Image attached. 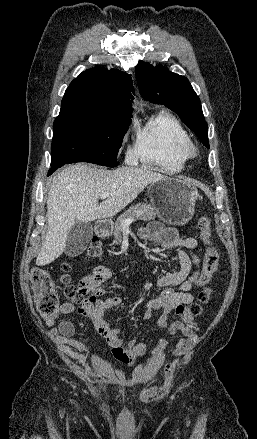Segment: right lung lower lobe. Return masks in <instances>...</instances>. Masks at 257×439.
<instances>
[{
	"instance_id": "obj_1",
	"label": "right lung lower lobe",
	"mask_w": 257,
	"mask_h": 439,
	"mask_svg": "<svg viewBox=\"0 0 257 439\" xmlns=\"http://www.w3.org/2000/svg\"><path fill=\"white\" fill-rule=\"evenodd\" d=\"M56 169H57V167H52V168L49 170L48 174H49V175L52 174Z\"/></svg>"
}]
</instances>
